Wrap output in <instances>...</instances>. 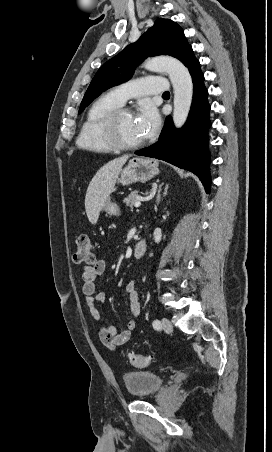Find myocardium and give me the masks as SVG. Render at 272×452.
Returning <instances> with one entry per match:
<instances>
[{
  "instance_id": "1",
  "label": "myocardium",
  "mask_w": 272,
  "mask_h": 452,
  "mask_svg": "<svg viewBox=\"0 0 272 452\" xmlns=\"http://www.w3.org/2000/svg\"><path fill=\"white\" fill-rule=\"evenodd\" d=\"M124 114H131L130 109L125 107H118L110 111L103 119L102 131L107 143L118 150L136 149L144 144V140L137 142H126L119 136L118 123L119 119Z\"/></svg>"
}]
</instances>
